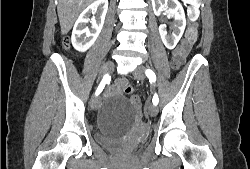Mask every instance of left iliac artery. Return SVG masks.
<instances>
[{"label":"left iliac artery","mask_w":250,"mask_h":169,"mask_svg":"<svg viewBox=\"0 0 250 169\" xmlns=\"http://www.w3.org/2000/svg\"><path fill=\"white\" fill-rule=\"evenodd\" d=\"M145 74L148 77L150 83H153V82L156 81V75H155V73L152 70L147 69L145 71ZM152 102H153L154 105H157L158 102H159V98H158V95L156 93L153 96Z\"/></svg>","instance_id":"left-iliac-artery-1"}]
</instances>
